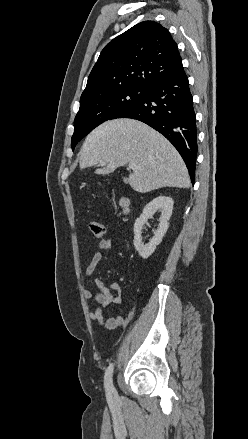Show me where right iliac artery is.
<instances>
[{"instance_id":"1","label":"right iliac artery","mask_w":248,"mask_h":439,"mask_svg":"<svg viewBox=\"0 0 248 439\" xmlns=\"http://www.w3.org/2000/svg\"><path fill=\"white\" fill-rule=\"evenodd\" d=\"M113 369H114V364H110L109 367L107 368V370L105 372V376H104L105 390H106L108 395H111L115 391V388H114L113 383H112Z\"/></svg>"}]
</instances>
